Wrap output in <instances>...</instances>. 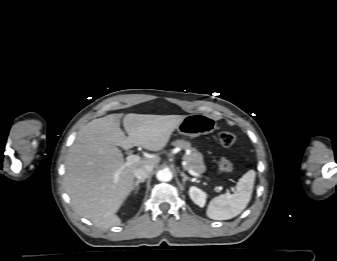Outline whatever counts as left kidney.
<instances>
[{"label": "left kidney", "instance_id": "obj_1", "mask_svg": "<svg viewBox=\"0 0 337 261\" xmlns=\"http://www.w3.org/2000/svg\"><path fill=\"white\" fill-rule=\"evenodd\" d=\"M189 196L195 204L204 207L206 203V194L202 190L193 186L189 189Z\"/></svg>", "mask_w": 337, "mask_h": 261}]
</instances>
